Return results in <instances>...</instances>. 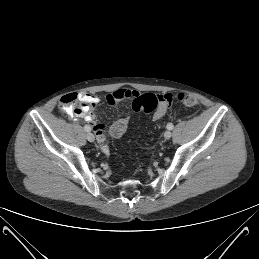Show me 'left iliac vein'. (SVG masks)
I'll list each match as a JSON object with an SVG mask.
<instances>
[{"instance_id":"4c4485c4","label":"left iliac vein","mask_w":259,"mask_h":259,"mask_svg":"<svg viewBox=\"0 0 259 259\" xmlns=\"http://www.w3.org/2000/svg\"><path fill=\"white\" fill-rule=\"evenodd\" d=\"M171 135H172V133H171L169 130H167V131L164 132V138H165V139H170V138H171Z\"/></svg>"}]
</instances>
